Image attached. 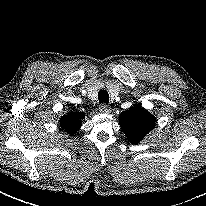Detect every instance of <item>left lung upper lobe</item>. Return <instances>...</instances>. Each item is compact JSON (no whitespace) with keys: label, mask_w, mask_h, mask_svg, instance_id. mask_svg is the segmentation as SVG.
<instances>
[{"label":"left lung upper lobe","mask_w":206,"mask_h":206,"mask_svg":"<svg viewBox=\"0 0 206 206\" xmlns=\"http://www.w3.org/2000/svg\"><path fill=\"white\" fill-rule=\"evenodd\" d=\"M120 126L128 140L139 143L155 126V117L143 108H132L119 116Z\"/></svg>","instance_id":"obj_1"}]
</instances>
